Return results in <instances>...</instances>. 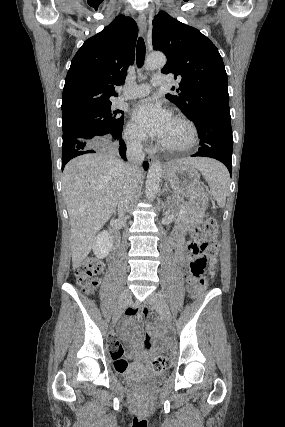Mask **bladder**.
Returning <instances> with one entry per match:
<instances>
[{"label": "bladder", "mask_w": 285, "mask_h": 427, "mask_svg": "<svg viewBox=\"0 0 285 427\" xmlns=\"http://www.w3.org/2000/svg\"><path fill=\"white\" fill-rule=\"evenodd\" d=\"M115 373L130 384H139L145 381L162 382L167 377V372L163 370L150 371L137 364H130L123 370H116Z\"/></svg>", "instance_id": "bladder-1"}]
</instances>
